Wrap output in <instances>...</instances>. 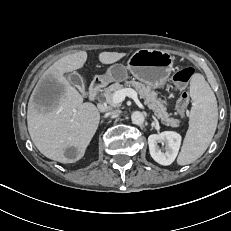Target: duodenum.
I'll list each match as a JSON object with an SVG mask.
<instances>
[{"label":"duodenum","mask_w":231,"mask_h":231,"mask_svg":"<svg viewBox=\"0 0 231 231\" xmlns=\"http://www.w3.org/2000/svg\"><path fill=\"white\" fill-rule=\"evenodd\" d=\"M104 86H105V81H104V79H102V78H95V79L92 81V83H91V85H90V87H89V94H88L89 99H90L91 101H94V100L97 98L99 92L101 91V89H102Z\"/></svg>","instance_id":"410a0bca"}]
</instances>
